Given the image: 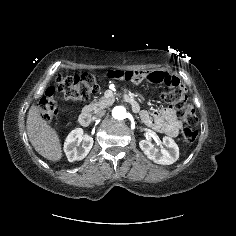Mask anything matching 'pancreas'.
<instances>
[{
  "label": "pancreas",
  "instance_id": "pancreas-1",
  "mask_svg": "<svg viewBox=\"0 0 236 236\" xmlns=\"http://www.w3.org/2000/svg\"><path fill=\"white\" fill-rule=\"evenodd\" d=\"M111 104V99H107L105 97H101L99 100L92 102L91 104L84 107V109L88 112L97 113L102 109L108 107Z\"/></svg>",
  "mask_w": 236,
  "mask_h": 236
}]
</instances>
